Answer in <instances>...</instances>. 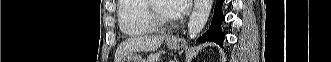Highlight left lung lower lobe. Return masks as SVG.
Here are the masks:
<instances>
[{
	"label": "left lung lower lobe",
	"instance_id": "left-lung-lower-lobe-1",
	"mask_svg": "<svg viewBox=\"0 0 331 62\" xmlns=\"http://www.w3.org/2000/svg\"><path fill=\"white\" fill-rule=\"evenodd\" d=\"M224 0H217L216 7L214 10V16L212 19V24L209 30L204 34L200 39L199 42L205 41H214L218 43L220 46L223 45L224 34L221 30V22L224 20L223 13L221 10L222 4Z\"/></svg>",
	"mask_w": 331,
	"mask_h": 62
}]
</instances>
